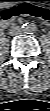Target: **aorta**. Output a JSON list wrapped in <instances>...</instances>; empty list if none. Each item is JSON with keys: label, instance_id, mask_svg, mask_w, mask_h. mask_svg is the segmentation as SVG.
<instances>
[{"label": "aorta", "instance_id": "obj_1", "mask_svg": "<svg viewBox=\"0 0 50 111\" xmlns=\"http://www.w3.org/2000/svg\"><path fill=\"white\" fill-rule=\"evenodd\" d=\"M22 30L26 34H33L37 31V27L34 23H26L22 26Z\"/></svg>", "mask_w": 50, "mask_h": 111}]
</instances>
